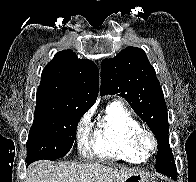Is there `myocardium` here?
Returning a JSON list of instances; mask_svg holds the SVG:
<instances>
[{"mask_svg": "<svg viewBox=\"0 0 196 182\" xmlns=\"http://www.w3.org/2000/svg\"><path fill=\"white\" fill-rule=\"evenodd\" d=\"M134 145L137 150L145 157L157 151L158 141L155 134L148 128L140 127L133 137ZM149 142V144H147Z\"/></svg>", "mask_w": 196, "mask_h": 182, "instance_id": "obj_1", "label": "myocardium"}]
</instances>
